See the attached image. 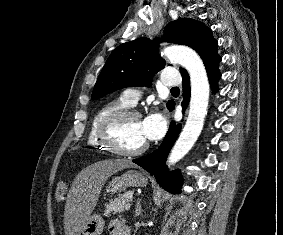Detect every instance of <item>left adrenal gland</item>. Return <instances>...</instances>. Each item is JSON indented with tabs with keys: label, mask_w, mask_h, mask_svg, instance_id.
<instances>
[{
	"label": "left adrenal gland",
	"mask_w": 283,
	"mask_h": 235,
	"mask_svg": "<svg viewBox=\"0 0 283 235\" xmlns=\"http://www.w3.org/2000/svg\"><path fill=\"white\" fill-rule=\"evenodd\" d=\"M141 204H140V199L137 200L136 202V208H135V216H139L141 214Z\"/></svg>",
	"instance_id": "obj_1"
}]
</instances>
